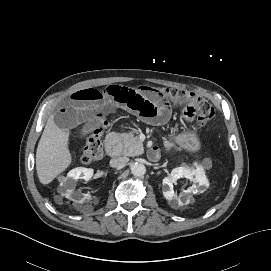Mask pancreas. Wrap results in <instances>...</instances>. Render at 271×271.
Listing matches in <instances>:
<instances>
[{"label": "pancreas", "mask_w": 271, "mask_h": 271, "mask_svg": "<svg viewBox=\"0 0 271 271\" xmlns=\"http://www.w3.org/2000/svg\"><path fill=\"white\" fill-rule=\"evenodd\" d=\"M123 144L122 154L125 156H137L143 153V144L135 132L121 134Z\"/></svg>", "instance_id": "obj_1"}]
</instances>
